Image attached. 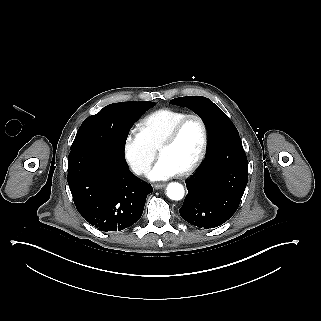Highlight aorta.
<instances>
[{
    "instance_id": "1",
    "label": "aorta",
    "mask_w": 321,
    "mask_h": 321,
    "mask_svg": "<svg viewBox=\"0 0 321 321\" xmlns=\"http://www.w3.org/2000/svg\"><path fill=\"white\" fill-rule=\"evenodd\" d=\"M184 187L176 182H172L167 187V196L171 200H181L184 197Z\"/></svg>"
}]
</instances>
